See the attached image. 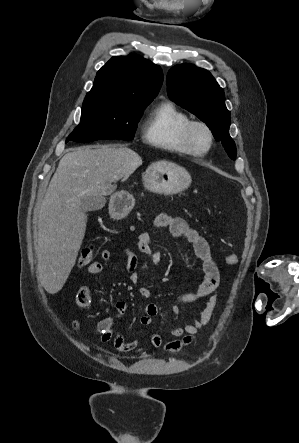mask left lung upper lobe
Instances as JSON below:
<instances>
[{
  "mask_svg": "<svg viewBox=\"0 0 299 443\" xmlns=\"http://www.w3.org/2000/svg\"><path fill=\"white\" fill-rule=\"evenodd\" d=\"M169 98L196 115L221 141L229 157L236 158V146L229 135L230 112L225 106L223 89L205 69L192 64L172 67L167 75Z\"/></svg>",
  "mask_w": 299,
  "mask_h": 443,
  "instance_id": "5c2ea615",
  "label": "left lung upper lobe"
}]
</instances>
